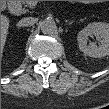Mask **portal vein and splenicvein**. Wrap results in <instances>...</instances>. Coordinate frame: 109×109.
I'll list each match as a JSON object with an SVG mask.
<instances>
[{
    "mask_svg": "<svg viewBox=\"0 0 109 109\" xmlns=\"http://www.w3.org/2000/svg\"><path fill=\"white\" fill-rule=\"evenodd\" d=\"M37 3H38V1H31V2H30V5H31V6H35V5H37Z\"/></svg>",
    "mask_w": 109,
    "mask_h": 109,
    "instance_id": "obj_1",
    "label": "portal vein and splenic vein"
}]
</instances>
